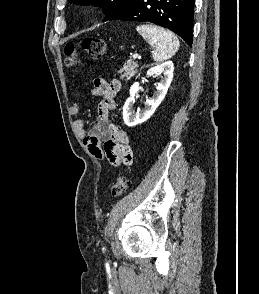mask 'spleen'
I'll use <instances>...</instances> for the list:
<instances>
[{"label": "spleen", "instance_id": "3e777b00", "mask_svg": "<svg viewBox=\"0 0 259 294\" xmlns=\"http://www.w3.org/2000/svg\"><path fill=\"white\" fill-rule=\"evenodd\" d=\"M137 32L155 49L154 61L161 62L171 58L179 49L178 38L169 30L155 25H138Z\"/></svg>", "mask_w": 259, "mask_h": 294}]
</instances>
